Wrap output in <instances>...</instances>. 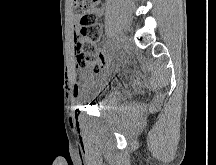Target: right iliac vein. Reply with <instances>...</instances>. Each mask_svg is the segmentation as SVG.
I'll list each match as a JSON object with an SVG mask.
<instances>
[{
  "label": "right iliac vein",
  "mask_w": 216,
  "mask_h": 165,
  "mask_svg": "<svg viewBox=\"0 0 216 165\" xmlns=\"http://www.w3.org/2000/svg\"><path fill=\"white\" fill-rule=\"evenodd\" d=\"M123 41H124V35L122 33H119L117 35V38H116L117 43L115 44V48H116L117 51L120 49L121 44H122Z\"/></svg>",
  "instance_id": "1"
}]
</instances>
